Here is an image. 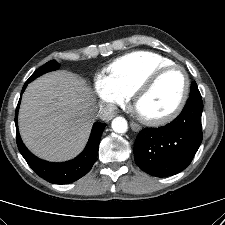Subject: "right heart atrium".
<instances>
[{
  "instance_id": "obj_1",
  "label": "right heart atrium",
  "mask_w": 225,
  "mask_h": 225,
  "mask_svg": "<svg viewBox=\"0 0 225 225\" xmlns=\"http://www.w3.org/2000/svg\"><path fill=\"white\" fill-rule=\"evenodd\" d=\"M94 91L101 102L113 107L125 105L129 97L116 88L111 80L103 74L95 77Z\"/></svg>"
}]
</instances>
